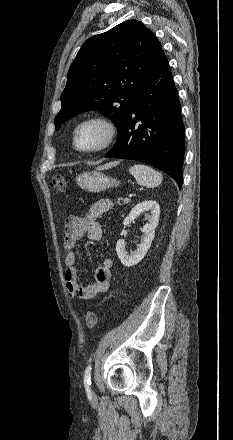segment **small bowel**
Masks as SVG:
<instances>
[{
  "mask_svg": "<svg viewBox=\"0 0 233 440\" xmlns=\"http://www.w3.org/2000/svg\"><path fill=\"white\" fill-rule=\"evenodd\" d=\"M113 207L110 199L104 198L95 202L89 210L81 215H70L65 224L66 249L65 257V283L70 296L80 300H92L102 293H105L110 286L113 261L106 257L95 271L94 282L89 285L78 283L77 260L79 253L77 251L78 241L84 233L92 241H99L102 237V227L98 219Z\"/></svg>",
  "mask_w": 233,
  "mask_h": 440,
  "instance_id": "obj_1",
  "label": "small bowel"
}]
</instances>
